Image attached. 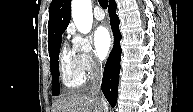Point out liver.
I'll return each instance as SVG.
<instances>
[{"mask_svg":"<svg viewBox=\"0 0 193 112\" xmlns=\"http://www.w3.org/2000/svg\"><path fill=\"white\" fill-rule=\"evenodd\" d=\"M52 112H107V103L101 96L89 93L58 99Z\"/></svg>","mask_w":193,"mask_h":112,"instance_id":"1","label":"liver"}]
</instances>
